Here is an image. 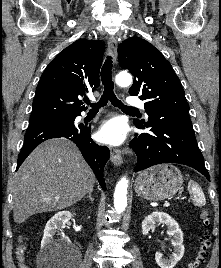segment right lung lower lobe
I'll return each mask as SVG.
<instances>
[{"label":"right lung lower lobe","mask_w":221,"mask_h":268,"mask_svg":"<svg viewBox=\"0 0 221 268\" xmlns=\"http://www.w3.org/2000/svg\"><path fill=\"white\" fill-rule=\"evenodd\" d=\"M90 132V126L75 124L74 121L43 120L30 122L24 137L23 148L18 155L17 169L41 142L55 137H64L77 145L86 162L94 171L100 186L106 190L103 170L109 159L110 151L109 148L94 143Z\"/></svg>","instance_id":"1"}]
</instances>
